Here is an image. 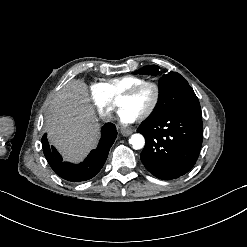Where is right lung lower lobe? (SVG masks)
Returning <instances> with one entry per match:
<instances>
[{
	"label": "right lung lower lobe",
	"mask_w": 247,
	"mask_h": 247,
	"mask_svg": "<svg viewBox=\"0 0 247 247\" xmlns=\"http://www.w3.org/2000/svg\"><path fill=\"white\" fill-rule=\"evenodd\" d=\"M101 132L102 136L97 148L92 150L80 164L63 162L56 149L49 145L47 134H44L42 137L43 152L53 171L59 177L72 182L86 181L93 178L103 167L109 149L117 136L116 127L112 123H106Z\"/></svg>",
	"instance_id": "right-lung-lower-lobe-1"
}]
</instances>
